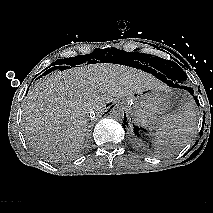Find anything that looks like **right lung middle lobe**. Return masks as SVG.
I'll use <instances>...</instances> for the list:
<instances>
[{"label":"right lung middle lobe","mask_w":213,"mask_h":213,"mask_svg":"<svg viewBox=\"0 0 213 213\" xmlns=\"http://www.w3.org/2000/svg\"><path fill=\"white\" fill-rule=\"evenodd\" d=\"M120 50L116 49V48H111V49H96L92 54H88V55H82V56H76V57H72V58H66L65 60L60 59V60H56L54 62L53 65H63V64H67V65H77L80 64L82 62H85L86 57L90 56L91 58H96L97 57H111L114 58L115 53L119 52Z\"/></svg>","instance_id":"right-lung-middle-lobe-1"}]
</instances>
